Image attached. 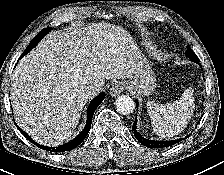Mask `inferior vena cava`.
I'll list each match as a JSON object with an SVG mask.
<instances>
[{
  "instance_id": "602c4592",
  "label": "inferior vena cava",
  "mask_w": 224,
  "mask_h": 175,
  "mask_svg": "<svg viewBox=\"0 0 224 175\" xmlns=\"http://www.w3.org/2000/svg\"><path fill=\"white\" fill-rule=\"evenodd\" d=\"M101 89L100 85H88L85 87L84 89V95L87 97V98H90L94 95L97 94V92H99Z\"/></svg>"
}]
</instances>
